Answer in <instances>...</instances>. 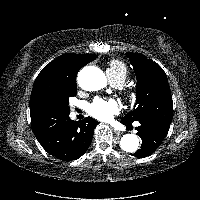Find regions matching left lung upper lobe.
Masks as SVG:
<instances>
[{
	"label": "left lung upper lobe",
	"instance_id": "left-lung-upper-lobe-1",
	"mask_svg": "<svg viewBox=\"0 0 200 200\" xmlns=\"http://www.w3.org/2000/svg\"><path fill=\"white\" fill-rule=\"evenodd\" d=\"M137 77V99L134 109L126 114L127 122L152 118L170 122L173 118V101L163 69L139 53L126 54Z\"/></svg>",
	"mask_w": 200,
	"mask_h": 200
}]
</instances>
